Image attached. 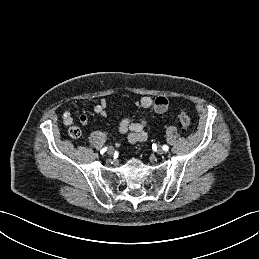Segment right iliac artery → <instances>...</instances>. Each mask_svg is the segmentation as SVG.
Instances as JSON below:
<instances>
[{"label":"right iliac artery","instance_id":"obj_1","mask_svg":"<svg viewBox=\"0 0 259 259\" xmlns=\"http://www.w3.org/2000/svg\"><path fill=\"white\" fill-rule=\"evenodd\" d=\"M107 148H103L100 153L103 154L106 151Z\"/></svg>","mask_w":259,"mask_h":259}]
</instances>
